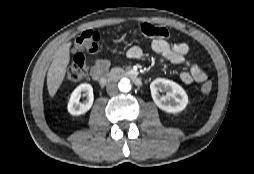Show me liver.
Listing matches in <instances>:
<instances>
[{"instance_id": "obj_1", "label": "liver", "mask_w": 254, "mask_h": 174, "mask_svg": "<svg viewBox=\"0 0 254 174\" xmlns=\"http://www.w3.org/2000/svg\"><path fill=\"white\" fill-rule=\"evenodd\" d=\"M72 43L69 42L61 46L55 53L53 61L47 73V88L49 95L54 97L57 90L61 86L67 66L70 61V47Z\"/></svg>"}]
</instances>
